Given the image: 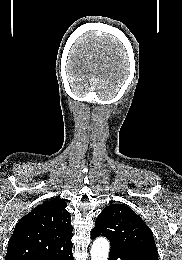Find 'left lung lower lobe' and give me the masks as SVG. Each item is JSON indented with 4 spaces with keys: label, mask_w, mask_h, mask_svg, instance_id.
Returning <instances> with one entry per match:
<instances>
[{
    "label": "left lung lower lobe",
    "mask_w": 182,
    "mask_h": 260,
    "mask_svg": "<svg viewBox=\"0 0 182 260\" xmlns=\"http://www.w3.org/2000/svg\"><path fill=\"white\" fill-rule=\"evenodd\" d=\"M98 236L91 235L92 239H95ZM109 260H152L150 257L142 254L133 253L126 250L116 249L111 247Z\"/></svg>",
    "instance_id": "obj_1"
}]
</instances>
